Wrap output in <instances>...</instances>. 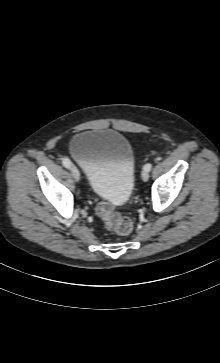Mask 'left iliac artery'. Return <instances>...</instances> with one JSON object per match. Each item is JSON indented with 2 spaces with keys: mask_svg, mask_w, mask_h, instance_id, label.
I'll return each mask as SVG.
<instances>
[{
  "mask_svg": "<svg viewBox=\"0 0 220 363\" xmlns=\"http://www.w3.org/2000/svg\"><path fill=\"white\" fill-rule=\"evenodd\" d=\"M152 168V164L151 163H147L145 166H144V169L147 170V171H150Z\"/></svg>",
  "mask_w": 220,
  "mask_h": 363,
  "instance_id": "44dca946",
  "label": "left iliac artery"
}]
</instances>
